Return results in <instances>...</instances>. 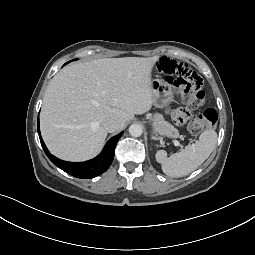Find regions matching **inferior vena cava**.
I'll list each match as a JSON object with an SVG mask.
<instances>
[{"label": "inferior vena cava", "instance_id": "obj_1", "mask_svg": "<svg viewBox=\"0 0 255 255\" xmlns=\"http://www.w3.org/2000/svg\"><path fill=\"white\" fill-rule=\"evenodd\" d=\"M104 127L109 133L116 132L122 127V122L116 118H110L104 122Z\"/></svg>", "mask_w": 255, "mask_h": 255}]
</instances>
